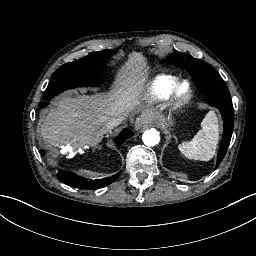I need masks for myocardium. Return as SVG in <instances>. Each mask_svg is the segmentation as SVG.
Returning <instances> with one entry per match:
<instances>
[{
    "label": "myocardium",
    "mask_w": 256,
    "mask_h": 256,
    "mask_svg": "<svg viewBox=\"0 0 256 256\" xmlns=\"http://www.w3.org/2000/svg\"><path fill=\"white\" fill-rule=\"evenodd\" d=\"M185 87L186 92L184 95L181 94V89ZM193 98V89L191 84L187 80H182L176 83L173 87L169 99L167 100V106L171 110H179L186 107Z\"/></svg>",
    "instance_id": "myocardium-1"
}]
</instances>
